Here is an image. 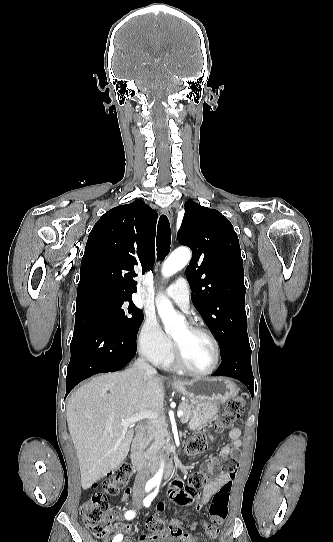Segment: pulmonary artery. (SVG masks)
<instances>
[{
  "label": "pulmonary artery",
  "instance_id": "e3ab8cb5",
  "mask_svg": "<svg viewBox=\"0 0 333 542\" xmlns=\"http://www.w3.org/2000/svg\"><path fill=\"white\" fill-rule=\"evenodd\" d=\"M190 287L188 281L185 278H180L177 284H171L165 290V297L173 301L180 309L190 313Z\"/></svg>",
  "mask_w": 333,
  "mask_h": 542
}]
</instances>
